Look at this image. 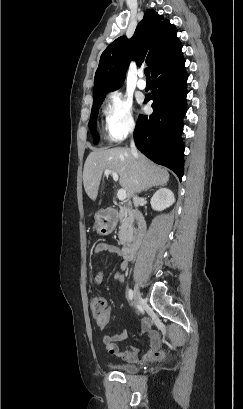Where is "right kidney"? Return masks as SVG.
<instances>
[{
  "instance_id": "obj_1",
  "label": "right kidney",
  "mask_w": 243,
  "mask_h": 409,
  "mask_svg": "<svg viewBox=\"0 0 243 409\" xmlns=\"http://www.w3.org/2000/svg\"><path fill=\"white\" fill-rule=\"evenodd\" d=\"M174 202V194L167 188H161L156 191L150 201L152 209L155 211H162L170 207Z\"/></svg>"
}]
</instances>
